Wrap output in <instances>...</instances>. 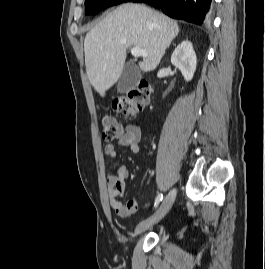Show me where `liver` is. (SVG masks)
I'll return each instance as SVG.
<instances>
[{
  "label": "liver",
  "mask_w": 265,
  "mask_h": 269,
  "mask_svg": "<svg viewBox=\"0 0 265 269\" xmlns=\"http://www.w3.org/2000/svg\"><path fill=\"white\" fill-rule=\"evenodd\" d=\"M179 31L176 21L144 5H120L85 37V66L91 85L104 97L121 77L131 46L148 53L139 62L140 69L153 71Z\"/></svg>",
  "instance_id": "6515ba94"
}]
</instances>
